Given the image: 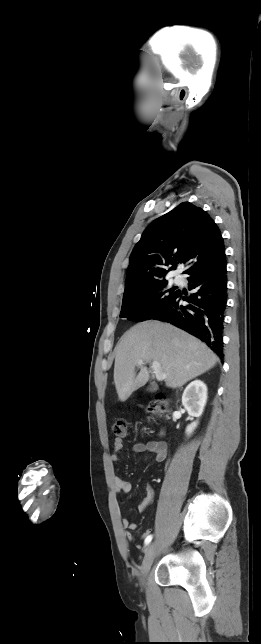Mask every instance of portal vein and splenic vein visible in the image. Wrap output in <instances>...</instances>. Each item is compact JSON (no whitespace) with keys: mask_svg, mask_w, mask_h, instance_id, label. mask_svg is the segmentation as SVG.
<instances>
[{"mask_svg":"<svg viewBox=\"0 0 261 644\" xmlns=\"http://www.w3.org/2000/svg\"><path fill=\"white\" fill-rule=\"evenodd\" d=\"M138 365H140V366L143 365V361L139 360ZM151 367H152L153 372H154V374L156 376V379L158 381L164 380L166 378V374L164 372H162L159 362L153 361Z\"/></svg>","mask_w":261,"mask_h":644,"instance_id":"portal-vein-and-splenic-vein-1","label":"portal vein and splenic vein"}]
</instances>
